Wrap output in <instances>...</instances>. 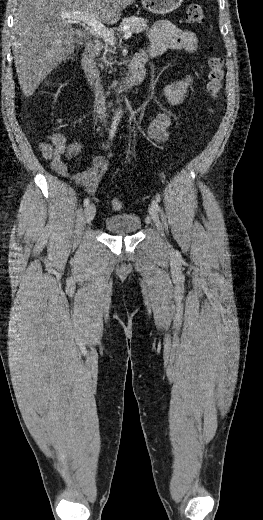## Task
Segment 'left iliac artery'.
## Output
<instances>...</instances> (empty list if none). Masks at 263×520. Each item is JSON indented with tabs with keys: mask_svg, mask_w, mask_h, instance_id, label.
Wrapping results in <instances>:
<instances>
[{
	"mask_svg": "<svg viewBox=\"0 0 263 520\" xmlns=\"http://www.w3.org/2000/svg\"><path fill=\"white\" fill-rule=\"evenodd\" d=\"M152 206H153L157 211H160V207H159L157 201L152 200Z\"/></svg>",
	"mask_w": 263,
	"mask_h": 520,
	"instance_id": "left-iliac-artery-1",
	"label": "left iliac artery"
}]
</instances>
